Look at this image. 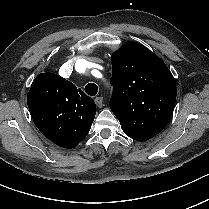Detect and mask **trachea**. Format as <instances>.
I'll list each match as a JSON object with an SVG mask.
<instances>
[{"instance_id":"trachea-1","label":"trachea","mask_w":209,"mask_h":209,"mask_svg":"<svg viewBox=\"0 0 209 209\" xmlns=\"http://www.w3.org/2000/svg\"><path fill=\"white\" fill-rule=\"evenodd\" d=\"M85 92L90 96H95L98 92V86L94 83H88L85 86Z\"/></svg>"}]
</instances>
